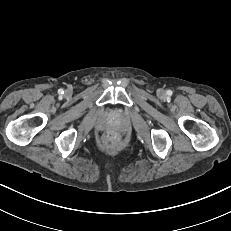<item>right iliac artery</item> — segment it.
<instances>
[{
  "label": "right iliac artery",
  "mask_w": 231,
  "mask_h": 231,
  "mask_svg": "<svg viewBox=\"0 0 231 231\" xmlns=\"http://www.w3.org/2000/svg\"><path fill=\"white\" fill-rule=\"evenodd\" d=\"M58 92H59L60 94H63V93H64L63 89H60Z\"/></svg>",
  "instance_id": "82829eb1"
}]
</instances>
